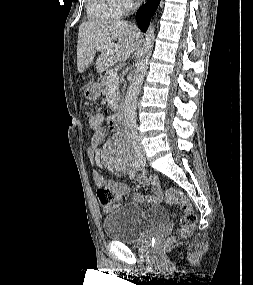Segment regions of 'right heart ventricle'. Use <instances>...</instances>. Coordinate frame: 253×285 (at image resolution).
<instances>
[{
  "mask_svg": "<svg viewBox=\"0 0 253 285\" xmlns=\"http://www.w3.org/2000/svg\"><path fill=\"white\" fill-rule=\"evenodd\" d=\"M88 16L93 20H111L120 17L124 8L120 0H86Z\"/></svg>",
  "mask_w": 253,
  "mask_h": 285,
  "instance_id": "e07e8e85",
  "label": "right heart ventricle"
}]
</instances>
